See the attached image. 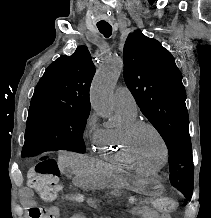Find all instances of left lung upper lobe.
I'll list each match as a JSON object with an SVG mask.
<instances>
[{"label": "left lung upper lobe", "mask_w": 211, "mask_h": 218, "mask_svg": "<svg viewBox=\"0 0 211 218\" xmlns=\"http://www.w3.org/2000/svg\"><path fill=\"white\" fill-rule=\"evenodd\" d=\"M123 59L127 87L167 145L171 184L190 199L194 166L181 72L171 53L141 31L129 34Z\"/></svg>", "instance_id": "5c2ea615"}]
</instances>
